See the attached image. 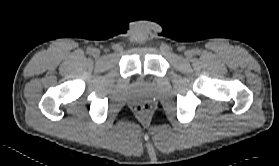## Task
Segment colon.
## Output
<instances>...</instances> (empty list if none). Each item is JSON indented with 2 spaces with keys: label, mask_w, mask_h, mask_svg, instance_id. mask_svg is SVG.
<instances>
[{
  "label": "colon",
  "mask_w": 279,
  "mask_h": 166,
  "mask_svg": "<svg viewBox=\"0 0 279 166\" xmlns=\"http://www.w3.org/2000/svg\"><path fill=\"white\" fill-rule=\"evenodd\" d=\"M137 112L141 115H145L150 112L151 106L149 104H141L136 108Z\"/></svg>",
  "instance_id": "obj_1"
}]
</instances>
